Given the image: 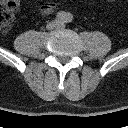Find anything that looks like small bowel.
Wrapping results in <instances>:
<instances>
[{
  "label": "small bowel",
  "mask_w": 128,
  "mask_h": 128,
  "mask_svg": "<svg viewBox=\"0 0 128 128\" xmlns=\"http://www.w3.org/2000/svg\"><path fill=\"white\" fill-rule=\"evenodd\" d=\"M56 8L55 4H43L40 6L39 12L41 15L46 16L51 14Z\"/></svg>",
  "instance_id": "c3829d8e"
}]
</instances>
